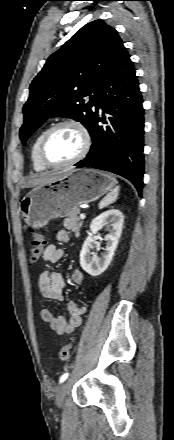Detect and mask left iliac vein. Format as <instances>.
<instances>
[{
	"instance_id": "1",
	"label": "left iliac vein",
	"mask_w": 174,
	"mask_h": 440,
	"mask_svg": "<svg viewBox=\"0 0 174 440\" xmlns=\"http://www.w3.org/2000/svg\"><path fill=\"white\" fill-rule=\"evenodd\" d=\"M69 390V382H64L56 392V405L58 408L63 407L66 394Z\"/></svg>"
}]
</instances>
